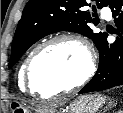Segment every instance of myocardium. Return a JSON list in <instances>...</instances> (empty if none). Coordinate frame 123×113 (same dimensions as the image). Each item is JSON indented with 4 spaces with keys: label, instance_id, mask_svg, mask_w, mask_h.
Here are the masks:
<instances>
[{
    "label": "myocardium",
    "instance_id": "myocardium-1",
    "mask_svg": "<svg viewBox=\"0 0 123 113\" xmlns=\"http://www.w3.org/2000/svg\"><path fill=\"white\" fill-rule=\"evenodd\" d=\"M61 41H72L78 44L85 52L86 57H87V68L84 74L73 84L67 87L63 88H58L52 91L47 92L46 94L40 93L38 90L35 89L33 81H32V67L33 64L37 58V56L45 50L47 47ZM96 71V59L94 52L92 50L91 45L89 42L82 37L79 34H74V33H64V34H59L56 35L40 45H38L29 55V57L26 60L25 66H24V84L25 88L32 94H35L41 98H51L54 95L57 94H63V93H69L78 87L82 86L85 84L88 80L92 78Z\"/></svg>",
    "mask_w": 123,
    "mask_h": 113
}]
</instances>
